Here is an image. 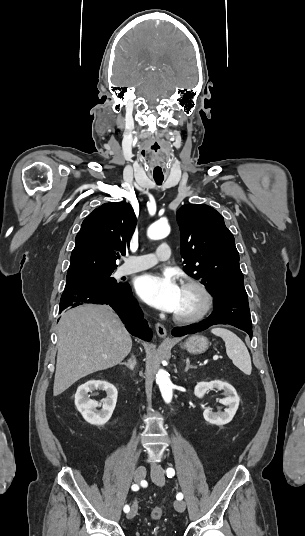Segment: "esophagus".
<instances>
[{"label": "esophagus", "mask_w": 305, "mask_h": 536, "mask_svg": "<svg viewBox=\"0 0 305 536\" xmlns=\"http://www.w3.org/2000/svg\"><path fill=\"white\" fill-rule=\"evenodd\" d=\"M156 332H157V335L160 336V338L167 337V331L161 323H156ZM166 339L168 341H171L169 338H166Z\"/></svg>", "instance_id": "esophagus-1"}]
</instances>
